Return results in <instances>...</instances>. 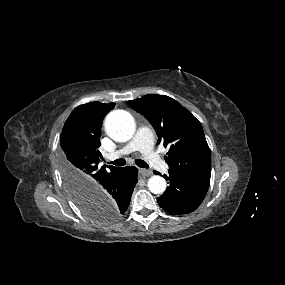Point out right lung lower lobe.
<instances>
[{
	"label": "right lung lower lobe",
	"mask_w": 285,
	"mask_h": 285,
	"mask_svg": "<svg viewBox=\"0 0 285 285\" xmlns=\"http://www.w3.org/2000/svg\"><path fill=\"white\" fill-rule=\"evenodd\" d=\"M138 170L134 166H126L109 173L94 186L96 200L109 205L120 217L131 201V195L137 183Z\"/></svg>",
	"instance_id": "1"
}]
</instances>
